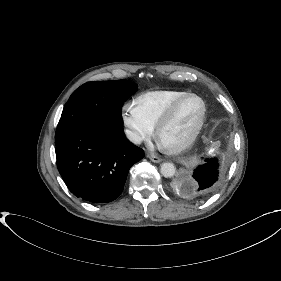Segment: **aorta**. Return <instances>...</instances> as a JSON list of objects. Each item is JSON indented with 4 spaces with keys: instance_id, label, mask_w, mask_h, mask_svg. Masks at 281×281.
Instances as JSON below:
<instances>
[{
    "instance_id": "1",
    "label": "aorta",
    "mask_w": 281,
    "mask_h": 281,
    "mask_svg": "<svg viewBox=\"0 0 281 281\" xmlns=\"http://www.w3.org/2000/svg\"><path fill=\"white\" fill-rule=\"evenodd\" d=\"M161 174L166 178H171L175 175L176 168L173 163L166 162L161 164Z\"/></svg>"
}]
</instances>
